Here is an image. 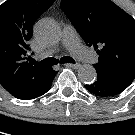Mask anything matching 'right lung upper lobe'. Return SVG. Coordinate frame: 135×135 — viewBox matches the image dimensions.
I'll list each match as a JSON object with an SVG mask.
<instances>
[{"instance_id": "cb5924a9", "label": "right lung upper lobe", "mask_w": 135, "mask_h": 135, "mask_svg": "<svg viewBox=\"0 0 135 135\" xmlns=\"http://www.w3.org/2000/svg\"><path fill=\"white\" fill-rule=\"evenodd\" d=\"M55 0H7L0 5V84L9 93L43 82L51 67L33 65L27 56L33 25Z\"/></svg>"}]
</instances>
